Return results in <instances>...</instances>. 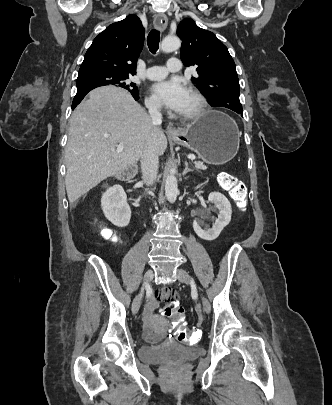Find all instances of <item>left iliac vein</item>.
<instances>
[{
    "instance_id": "obj_1",
    "label": "left iliac vein",
    "mask_w": 332,
    "mask_h": 405,
    "mask_svg": "<svg viewBox=\"0 0 332 405\" xmlns=\"http://www.w3.org/2000/svg\"><path fill=\"white\" fill-rule=\"evenodd\" d=\"M176 277H177V279H178L180 282H182V283H185V284H190V283H191L190 275H189V273H188L186 270H184V269L179 268V269L177 270ZM200 300H201V303H202V306H203L204 311H205L206 313H210V311H211V304H210L209 300H208L204 295H202V294H200Z\"/></svg>"
}]
</instances>
